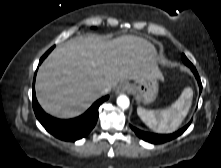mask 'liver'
Instances as JSON below:
<instances>
[{"instance_id":"6515ba94","label":"liver","mask_w":221,"mask_h":168,"mask_svg":"<svg viewBox=\"0 0 221 168\" xmlns=\"http://www.w3.org/2000/svg\"><path fill=\"white\" fill-rule=\"evenodd\" d=\"M155 47L147 40L124 35L110 41L80 36L56 47L40 66L37 99L58 118L80 115L119 82H143L158 74Z\"/></svg>"}]
</instances>
